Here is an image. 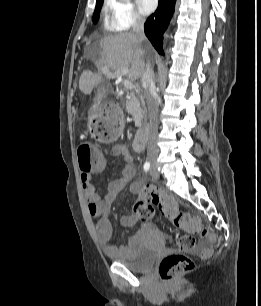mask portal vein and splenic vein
<instances>
[{"instance_id":"1","label":"portal vein and splenic vein","mask_w":261,"mask_h":306,"mask_svg":"<svg viewBox=\"0 0 261 306\" xmlns=\"http://www.w3.org/2000/svg\"><path fill=\"white\" fill-rule=\"evenodd\" d=\"M103 73L104 74H107V75H112L113 77H123V76H127L128 73H129V69L128 68H124L116 73H111L108 69H103ZM123 84L126 88L128 89H132L134 87L133 83L128 80V79H125L123 81Z\"/></svg>"}]
</instances>
